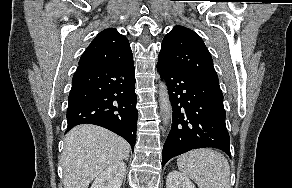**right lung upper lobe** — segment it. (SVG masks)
I'll list each match as a JSON object with an SVG mask.
<instances>
[{
    "instance_id": "right-lung-upper-lobe-1",
    "label": "right lung upper lobe",
    "mask_w": 292,
    "mask_h": 188,
    "mask_svg": "<svg viewBox=\"0 0 292 188\" xmlns=\"http://www.w3.org/2000/svg\"><path fill=\"white\" fill-rule=\"evenodd\" d=\"M133 60L128 39L109 28L100 32L87 47L79 64H121Z\"/></svg>"
}]
</instances>
